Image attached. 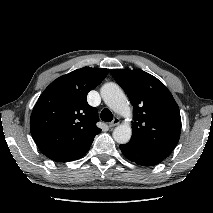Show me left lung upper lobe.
<instances>
[{"mask_svg":"<svg viewBox=\"0 0 213 213\" xmlns=\"http://www.w3.org/2000/svg\"><path fill=\"white\" fill-rule=\"evenodd\" d=\"M111 73L134 108L129 143L168 157L181 132L180 111L170 91L160 80L142 70L112 69Z\"/></svg>","mask_w":213,"mask_h":213,"instance_id":"left-lung-upper-lobe-1","label":"left lung upper lobe"}]
</instances>
